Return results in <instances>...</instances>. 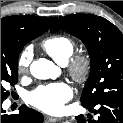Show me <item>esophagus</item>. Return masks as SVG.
<instances>
[{"label": "esophagus", "instance_id": "1", "mask_svg": "<svg viewBox=\"0 0 123 123\" xmlns=\"http://www.w3.org/2000/svg\"><path fill=\"white\" fill-rule=\"evenodd\" d=\"M63 118H58V117H51V116H46V120L49 122H58L61 121Z\"/></svg>", "mask_w": 123, "mask_h": 123}]
</instances>
